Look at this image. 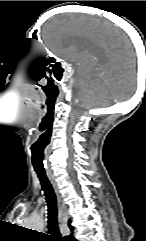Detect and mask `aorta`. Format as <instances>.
Here are the masks:
<instances>
[{
  "mask_svg": "<svg viewBox=\"0 0 146 241\" xmlns=\"http://www.w3.org/2000/svg\"><path fill=\"white\" fill-rule=\"evenodd\" d=\"M27 228L32 230H41L44 226V220L40 216H33L27 222H25Z\"/></svg>",
  "mask_w": 146,
  "mask_h": 241,
  "instance_id": "obj_1",
  "label": "aorta"
}]
</instances>
